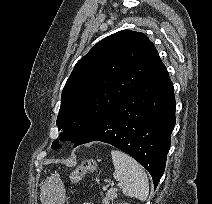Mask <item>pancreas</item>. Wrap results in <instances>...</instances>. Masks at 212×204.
<instances>
[{
	"label": "pancreas",
	"mask_w": 212,
	"mask_h": 204,
	"mask_svg": "<svg viewBox=\"0 0 212 204\" xmlns=\"http://www.w3.org/2000/svg\"><path fill=\"white\" fill-rule=\"evenodd\" d=\"M117 189L115 188H111L110 190H108L106 196L103 198V204H109L110 200H114L117 197Z\"/></svg>",
	"instance_id": "cf45deb5"
}]
</instances>
